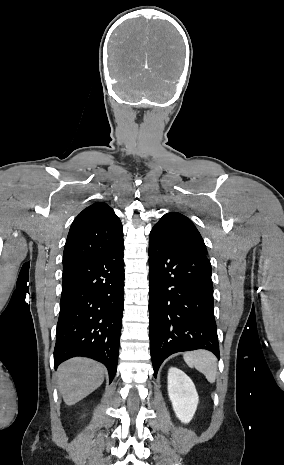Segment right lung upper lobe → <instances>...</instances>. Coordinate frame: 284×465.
I'll return each mask as SVG.
<instances>
[{
  "label": "right lung upper lobe",
  "mask_w": 284,
  "mask_h": 465,
  "mask_svg": "<svg viewBox=\"0 0 284 465\" xmlns=\"http://www.w3.org/2000/svg\"><path fill=\"white\" fill-rule=\"evenodd\" d=\"M122 240V224L113 209L106 203L90 205L70 227L63 253L64 270L99 257Z\"/></svg>",
  "instance_id": "1"
}]
</instances>
